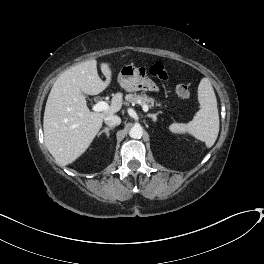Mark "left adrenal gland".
Masks as SVG:
<instances>
[{
	"label": "left adrenal gland",
	"mask_w": 264,
	"mask_h": 264,
	"mask_svg": "<svg viewBox=\"0 0 264 264\" xmlns=\"http://www.w3.org/2000/svg\"><path fill=\"white\" fill-rule=\"evenodd\" d=\"M159 113H161L160 111L159 112H157V113H155V114H147V117H149V118H152V120L154 121V122H156L157 121V115L159 114Z\"/></svg>",
	"instance_id": "left-adrenal-gland-1"
}]
</instances>
